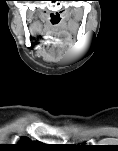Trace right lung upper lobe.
Instances as JSON below:
<instances>
[{
	"instance_id": "right-lung-upper-lobe-1",
	"label": "right lung upper lobe",
	"mask_w": 118,
	"mask_h": 151,
	"mask_svg": "<svg viewBox=\"0 0 118 151\" xmlns=\"http://www.w3.org/2000/svg\"><path fill=\"white\" fill-rule=\"evenodd\" d=\"M39 142L31 141L27 137H22L18 144H16V147L21 150H29L34 149L38 147Z\"/></svg>"
}]
</instances>
